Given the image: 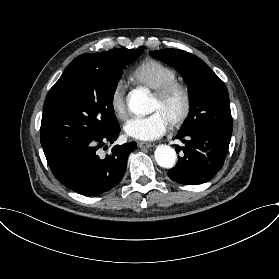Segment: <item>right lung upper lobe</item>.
Returning <instances> with one entry per match:
<instances>
[{"label": "right lung upper lobe", "instance_id": "1", "mask_svg": "<svg viewBox=\"0 0 279 279\" xmlns=\"http://www.w3.org/2000/svg\"><path fill=\"white\" fill-rule=\"evenodd\" d=\"M121 49H112L105 52L93 53V54H83L80 55L82 58H87L91 60L95 65H104L108 58L115 55Z\"/></svg>", "mask_w": 279, "mask_h": 279}]
</instances>
